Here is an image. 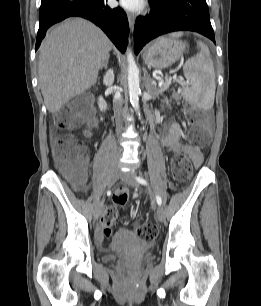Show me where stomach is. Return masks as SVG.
Returning <instances> with one entry per match:
<instances>
[{
	"label": "stomach",
	"mask_w": 261,
	"mask_h": 306,
	"mask_svg": "<svg viewBox=\"0 0 261 306\" xmlns=\"http://www.w3.org/2000/svg\"><path fill=\"white\" fill-rule=\"evenodd\" d=\"M187 43L175 37H159L147 47L143 54L146 65L166 68L179 60L185 53Z\"/></svg>",
	"instance_id": "1"
}]
</instances>
